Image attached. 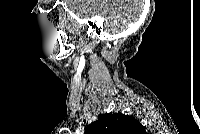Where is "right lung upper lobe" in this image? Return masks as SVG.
<instances>
[{
  "label": "right lung upper lobe",
  "instance_id": "1",
  "mask_svg": "<svg viewBox=\"0 0 200 134\" xmlns=\"http://www.w3.org/2000/svg\"><path fill=\"white\" fill-rule=\"evenodd\" d=\"M86 134H144L134 117L122 113L102 114L86 128Z\"/></svg>",
  "mask_w": 200,
  "mask_h": 134
}]
</instances>
